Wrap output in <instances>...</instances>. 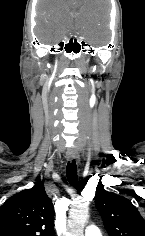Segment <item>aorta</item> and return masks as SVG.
<instances>
[{
  "label": "aorta",
  "instance_id": "obj_1",
  "mask_svg": "<svg viewBox=\"0 0 145 236\" xmlns=\"http://www.w3.org/2000/svg\"><path fill=\"white\" fill-rule=\"evenodd\" d=\"M89 203L80 200L75 202L69 213L66 236H84V226L88 219Z\"/></svg>",
  "mask_w": 145,
  "mask_h": 236
}]
</instances>
